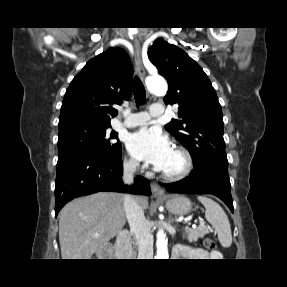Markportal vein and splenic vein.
Returning <instances> with one entry per match:
<instances>
[{
	"label": "portal vein and splenic vein",
	"mask_w": 287,
	"mask_h": 287,
	"mask_svg": "<svg viewBox=\"0 0 287 287\" xmlns=\"http://www.w3.org/2000/svg\"><path fill=\"white\" fill-rule=\"evenodd\" d=\"M177 221L180 222L181 220L178 219ZM187 221H189V220L185 219V222H187ZM201 226H203V224H201ZM193 227H195V225H193Z\"/></svg>",
	"instance_id": "portal-vein-and-splenic-vein-1"
}]
</instances>
